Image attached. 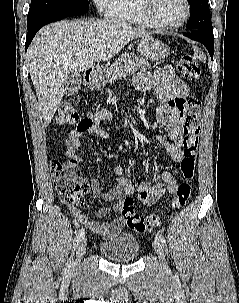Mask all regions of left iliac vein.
Returning a JSON list of instances; mask_svg holds the SVG:
<instances>
[{
  "instance_id": "obj_1",
  "label": "left iliac vein",
  "mask_w": 239,
  "mask_h": 303,
  "mask_svg": "<svg viewBox=\"0 0 239 303\" xmlns=\"http://www.w3.org/2000/svg\"><path fill=\"white\" fill-rule=\"evenodd\" d=\"M153 248L156 251L160 261L162 262L163 266L167 268L166 259H165V253L162 244L158 239H155L153 241Z\"/></svg>"
}]
</instances>
